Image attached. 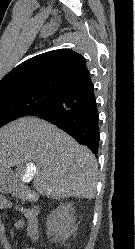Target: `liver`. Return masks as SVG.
I'll return each mask as SVG.
<instances>
[{
	"label": "liver",
	"instance_id": "1",
	"mask_svg": "<svg viewBox=\"0 0 135 249\" xmlns=\"http://www.w3.org/2000/svg\"><path fill=\"white\" fill-rule=\"evenodd\" d=\"M36 165L33 186L48 198L96 194L98 165L94 154L55 125L23 117L0 128V169Z\"/></svg>",
	"mask_w": 135,
	"mask_h": 249
}]
</instances>
